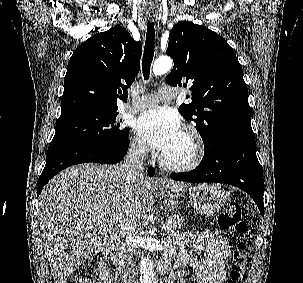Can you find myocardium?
Instances as JSON below:
<instances>
[{
    "instance_id": "f54148a6",
    "label": "myocardium",
    "mask_w": 303,
    "mask_h": 283,
    "mask_svg": "<svg viewBox=\"0 0 303 283\" xmlns=\"http://www.w3.org/2000/svg\"><path fill=\"white\" fill-rule=\"evenodd\" d=\"M182 132L189 138L192 143V155L187 161L174 163L168 161L162 154L159 161L160 165L166 170L174 172H188L197 168L204 158L205 144L200 132L191 125L185 126Z\"/></svg>"
}]
</instances>
